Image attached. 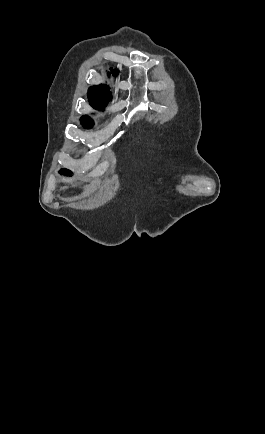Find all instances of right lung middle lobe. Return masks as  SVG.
I'll return each mask as SVG.
<instances>
[{"instance_id":"right-lung-middle-lobe-1","label":"right lung middle lobe","mask_w":265,"mask_h":434,"mask_svg":"<svg viewBox=\"0 0 265 434\" xmlns=\"http://www.w3.org/2000/svg\"><path fill=\"white\" fill-rule=\"evenodd\" d=\"M88 98H89V101H90L91 106H93V107L96 108V109H103L104 106H105L106 103H107V100H105V99H103V98H100V97H94V96H89V95H88ZM81 123H82V125L85 126L86 128H90V127L92 126V124H93V121H92L91 118H89V117H87V116H84V117L81 119ZM60 172H61V173H64V174H68V175H70V171L67 170V169H62Z\"/></svg>"}]
</instances>
